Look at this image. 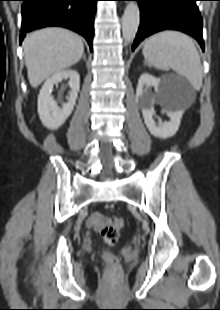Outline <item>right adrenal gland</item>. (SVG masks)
Segmentation results:
<instances>
[{
  "label": "right adrenal gland",
  "instance_id": "right-adrenal-gland-1",
  "mask_svg": "<svg viewBox=\"0 0 220 310\" xmlns=\"http://www.w3.org/2000/svg\"><path fill=\"white\" fill-rule=\"evenodd\" d=\"M83 59H84V60H86V57H85V55L83 56Z\"/></svg>",
  "mask_w": 220,
  "mask_h": 310
}]
</instances>
